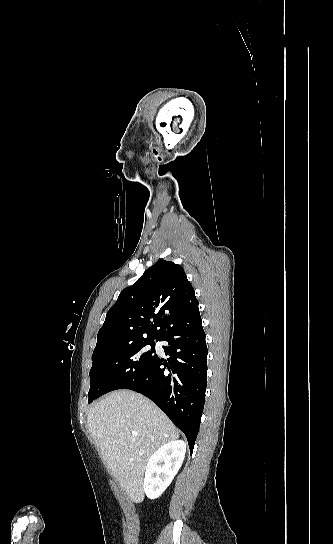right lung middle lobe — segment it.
Returning <instances> with one entry per match:
<instances>
[{"instance_id": "right-lung-middle-lobe-1", "label": "right lung middle lobe", "mask_w": 333, "mask_h": 544, "mask_svg": "<svg viewBox=\"0 0 333 544\" xmlns=\"http://www.w3.org/2000/svg\"><path fill=\"white\" fill-rule=\"evenodd\" d=\"M156 357L155 342L150 338L137 339L109 350L94 352L89 373L91 384L88 403L131 383Z\"/></svg>"}]
</instances>
